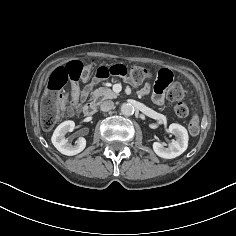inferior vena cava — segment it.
<instances>
[{
  "mask_svg": "<svg viewBox=\"0 0 236 236\" xmlns=\"http://www.w3.org/2000/svg\"><path fill=\"white\" fill-rule=\"evenodd\" d=\"M113 107H114V102L111 100H106L102 102L100 105L101 111H104V112L111 110Z\"/></svg>",
  "mask_w": 236,
  "mask_h": 236,
  "instance_id": "obj_1",
  "label": "inferior vena cava"
}]
</instances>
